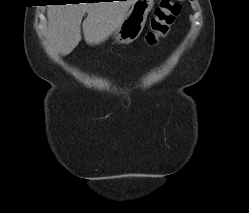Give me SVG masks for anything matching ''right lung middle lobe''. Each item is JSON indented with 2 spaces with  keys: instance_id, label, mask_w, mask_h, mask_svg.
I'll return each mask as SVG.
<instances>
[{
  "instance_id": "dd1d6c3e",
  "label": "right lung middle lobe",
  "mask_w": 249,
  "mask_h": 213,
  "mask_svg": "<svg viewBox=\"0 0 249 213\" xmlns=\"http://www.w3.org/2000/svg\"><path fill=\"white\" fill-rule=\"evenodd\" d=\"M61 2H73L74 0H59Z\"/></svg>"
}]
</instances>
